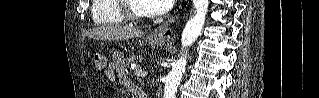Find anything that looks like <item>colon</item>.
Here are the masks:
<instances>
[{
	"mask_svg": "<svg viewBox=\"0 0 319 98\" xmlns=\"http://www.w3.org/2000/svg\"><path fill=\"white\" fill-rule=\"evenodd\" d=\"M93 61L98 68H103L105 66L104 57L101 53L95 52L93 54Z\"/></svg>",
	"mask_w": 319,
	"mask_h": 98,
	"instance_id": "colon-1",
	"label": "colon"
}]
</instances>
